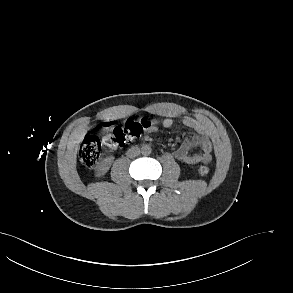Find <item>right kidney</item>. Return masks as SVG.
<instances>
[{"label":"right kidney","instance_id":"1","mask_svg":"<svg viewBox=\"0 0 293 293\" xmlns=\"http://www.w3.org/2000/svg\"><path fill=\"white\" fill-rule=\"evenodd\" d=\"M106 170H107V167H106V166H101V167L98 169V171H99L100 173H104Z\"/></svg>","mask_w":293,"mask_h":293}]
</instances>
